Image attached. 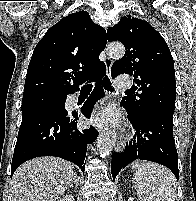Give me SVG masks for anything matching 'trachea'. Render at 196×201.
Here are the masks:
<instances>
[{
    "label": "trachea",
    "instance_id": "trachea-1",
    "mask_svg": "<svg viewBox=\"0 0 196 201\" xmlns=\"http://www.w3.org/2000/svg\"><path fill=\"white\" fill-rule=\"evenodd\" d=\"M102 86L104 87L105 90L113 92V88L110 82V79L108 77H104L102 81ZM83 90H91L92 89V84H87L83 88Z\"/></svg>",
    "mask_w": 196,
    "mask_h": 201
}]
</instances>
